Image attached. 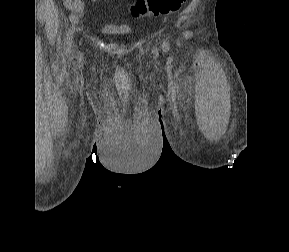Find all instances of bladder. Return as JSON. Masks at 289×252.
Wrapping results in <instances>:
<instances>
[{
    "label": "bladder",
    "mask_w": 289,
    "mask_h": 252,
    "mask_svg": "<svg viewBox=\"0 0 289 252\" xmlns=\"http://www.w3.org/2000/svg\"><path fill=\"white\" fill-rule=\"evenodd\" d=\"M103 32L109 35H124L128 32L126 28H117L113 26H105Z\"/></svg>",
    "instance_id": "31cf9c89"
}]
</instances>
